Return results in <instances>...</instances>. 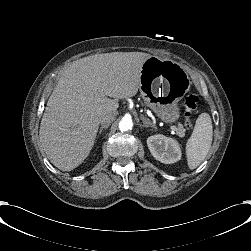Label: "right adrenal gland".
<instances>
[{"label":"right adrenal gland","mask_w":251,"mask_h":251,"mask_svg":"<svg viewBox=\"0 0 251 251\" xmlns=\"http://www.w3.org/2000/svg\"><path fill=\"white\" fill-rule=\"evenodd\" d=\"M107 125H102L100 128H99V134L97 136H100L101 135V132L104 128H106Z\"/></svg>","instance_id":"obj_1"}]
</instances>
